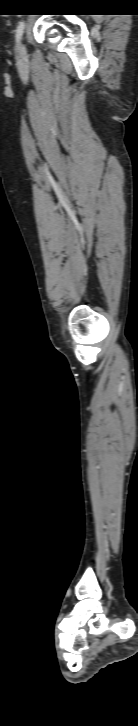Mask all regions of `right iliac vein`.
Returning <instances> with one entry per match:
<instances>
[{
    "mask_svg": "<svg viewBox=\"0 0 138 726\" xmlns=\"http://www.w3.org/2000/svg\"><path fill=\"white\" fill-rule=\"evenodd\" d=\"M25 56H26V49H25V46H24V45H23V44L21 43V44H20V45L18 46V51H17V58H18V59H19L20 61H23V60L25 59Z\"/></svg>",
    "mask_w": 138,
    "mask_h": 726,
    "instance_id": "63e3f726",
    "label": "right iliac vein"
}]
</instances>
